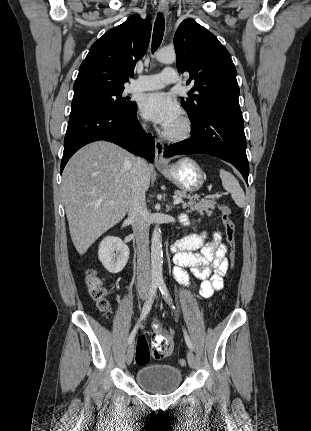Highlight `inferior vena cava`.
<instances>
[{"mask_svg":"<svg viewBox=\"0 0 311 431\" xmlns=\"http://www.w3.org/2000/svg\"><path fill=\"white\" fill-rule=\"evenodd\" d=\"M133 172L131 202L128 208V219H131L132 229L137 243V293L146 295L151 287L150 249H149V219L145 200V182L142 176L141 158H136Z\"/></svg>","mask_w":311,"mask_h":431,"instance_id":"inferior-vena-cava-1","label":"inferior vena cava"}]
</instances>
